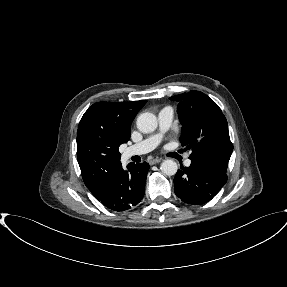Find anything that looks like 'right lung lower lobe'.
Here are the masks:
<instances>
[{
  "label": "right lung lower lobe",
  "mask_w": 287,
  "mask_h": 287,
  "mask_svg": "<svg viewBox=\"0 0 287 287\" xmlns=\"http://www.w3.org/2000/svg\"><path fill=\"white\" fill-rule=\"evenodd\" d=\"M148 170L149 164L146 162L129 163L127 170L121 166L104 179L98 192L93 195L112 211L128 210L142 200Z\"/></svg>",
  "instance_id": "98d812e1"
}]
</instances>
